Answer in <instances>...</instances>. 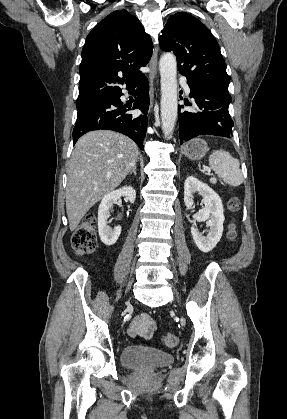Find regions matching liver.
Returning a JSON list of instances; mask_svg holds the SVG:
<instances>
[{"label":"liver","mask_w":287,"mask_h":419,"mask_svg":"<svg viewBox=\"0 0 287 419\" xmlns=\"http://www.w3.org/2000/svg\"><path fill=\"white\" fill-rule=\"evenodd\" d=\"M138 154L134 141L110 130L92 131L77 141L67 167L66 211L71 231L92 206L121 184Z\"/></svg>","instance_id":"6515ba94"}]
</instances>
